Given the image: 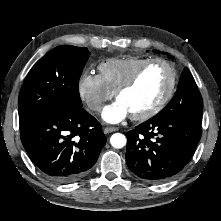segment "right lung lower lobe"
<instances>
[{"instance_id": "right-lung-lower-lobe-1", "label": "right lung lower lobe", "mask_w": 221, "mask_h": 221, "mask_svg": "<svg viewBox=\"0 0 221 221\" xmlns=\"http://www.w3.org/2000/svg\"><path fill=\"white\" fill-rule=\"evenodd\" d=\"M20 135L36 168L58 183L85 176L107 140L100 123L83 108L27 120L20 124Z\"/></svg>"}]
</instances>
